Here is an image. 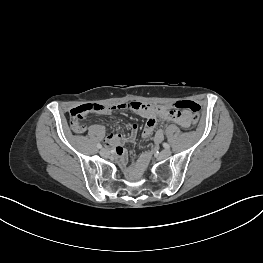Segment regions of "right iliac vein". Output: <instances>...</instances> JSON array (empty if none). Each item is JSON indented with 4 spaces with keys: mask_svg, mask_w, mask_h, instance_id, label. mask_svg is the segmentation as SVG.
<instances>
[{
    "mask_svg": "<svg viewBox=\"0 0 263 263\" xmlns=\"http://www.w3.org/2000/svg\"><path fill=\"white\" fill-rule=\"evenodd\" d=\"M100 154H101V156L106 157V156H108L109 152H108L107 149H102V150L100 151Z\"/></svg>",
    "mask_w": 263,
    "mask_h": 263,
    "instance_id": "obj_1",
    "label": "right iliac vein"
}]
</instances>
